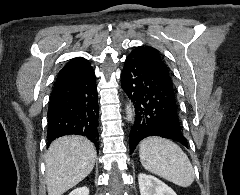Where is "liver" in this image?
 <instances>
[{
    "instance_id": "6515ba94",
    "label": "liver",
    "mask_w": 240,
    "mask_h": 195,
    "mask_svg": "<svg viewBox=\"0 0 240 195\" xmlns=\"http://www.w3.org/2000/svg\"><path fill=\"white\" fill-rule=\"evenodd\" d=\"M96 147L83 135H64L52 141L46 151L48 195H62L92 171Z\"/></svg>"
}]
</instances>
